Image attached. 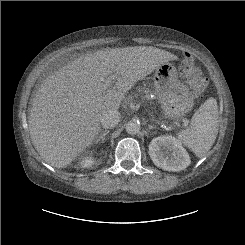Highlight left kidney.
Segmentation results:
<instances>
[{
  "label": "left kidney",
  "mask_w": 245,
  "mask_h": 245,
  "mask_svg": "<svg viewBox=\"0 0 245 245\" xmlns=\"http://www.w3.org/2000/svg\"><path fill=\"white\" fill-rule=\"evenodd\" d=\"M149 155L157 167L166 171H181L191 163L188 152L172 136L153 138L149 144Z\"/></svg>",
  "instance_id": "left-kidney-1"
}]
</instances>
